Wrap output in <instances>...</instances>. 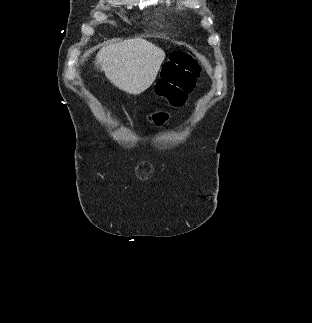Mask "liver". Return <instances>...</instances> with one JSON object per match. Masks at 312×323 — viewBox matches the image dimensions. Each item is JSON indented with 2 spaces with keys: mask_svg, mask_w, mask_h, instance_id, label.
Here are the masks:
<instances>
[{
  "mask_svg": "<svg viewBox=\"0 0 312 323\" xmlns=\"http://www.w3.org/2000/svg\"><path fill=\"white\" fill-rule=\"evenodd\" d=\"M164 58L161 48L147 40L132 38L103 46L96 64L116 88L138 96L153 84Z\"/></svg>",
  "mask_w": 312,
  "mask_h": 323,
  "instance_id": "1",
  "label": "liver"
}]
</instances>
